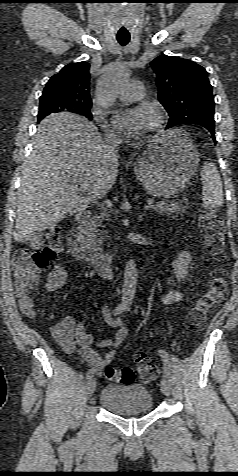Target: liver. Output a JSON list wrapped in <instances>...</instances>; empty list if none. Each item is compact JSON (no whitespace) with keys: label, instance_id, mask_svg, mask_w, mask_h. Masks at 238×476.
Returning <instances> with one entry per match:
<instances>
[{"label":"liver","instance_id":"1","mask_svg":"<svg viewBox=\"0 0 238 476\" xmlns=\"http://www.w3.org/2000/svg\"><path fill=\"white\" fill-rule=\"evenodd\" d=\"M118 166V159L107 155L98 128L86 118L71 113L44 118L22 165L14 240L27 241L84 211L112 188Z\"/></svg>","mask_w":238,"mask_h":476}]
</instances>
